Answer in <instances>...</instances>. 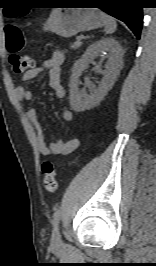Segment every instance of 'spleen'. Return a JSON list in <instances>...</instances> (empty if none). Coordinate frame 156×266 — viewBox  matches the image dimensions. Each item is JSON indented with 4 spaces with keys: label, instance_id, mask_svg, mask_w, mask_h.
I'll list each match as a JSON object with an SVG mask.
<instances>
[{
    "label": "spleen",
    "instance_id": "1",
    "mask_svg": "<svg viewBox=\"0 0 156 266\" xmlns=\"http://www.w3.org/2000/svg\"><path fill=\"white\" fill-rule=\"evenodd\" d=\"M105 33L112 34L117 29V23L115 19L109 15L104 14Z\"/></svg>",
    "mask_w": 156,
    "mask_h": 266
}]
</instances>
